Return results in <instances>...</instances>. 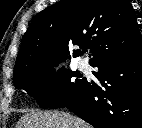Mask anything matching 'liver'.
Here are the masks:
<instances>
[{
  "label": "liver",
  "mask_w": 142,
  "mask_h": 128,
  "mask_svg": "<svg viewBox=\"0 0 142 128\" xmlns=\"http://www.w3.org/2000/svg\"><path fill=\"white\" fill-rule=\"evenodd\" d=\"M16 128H91V126L81 118L66 112L32 111L21 117Z\"/></svg>",
  "instance_id": "6515ba94"
}]
</instances>
